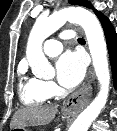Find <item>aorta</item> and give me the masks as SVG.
Instances as JSON below:
<instances>
[{
  "instance_id": "aorta-1",
  "label": "aorta",
  "mask_w": 117,
  "mask_h": 131,
  "mask_svg": "<svg viewBox=\"0 0 117 131\" xmlns=\"http://www.w3.org/2000/svg\"><path fill=\"white\" fill-rule=\"evenodd\" d=\"M67 21L77 23L84 29L100 84V91L95 99L80 113L70 127V131H87L107 102L110 84L107 48L97 17L80 7L66 8L49 17H38L28 38L26 57L35 76L40 78L52 76L54 69L43 53L42 43Z\"/></svg>"
}]
</instances>
